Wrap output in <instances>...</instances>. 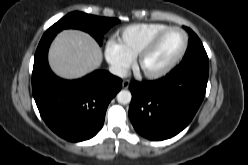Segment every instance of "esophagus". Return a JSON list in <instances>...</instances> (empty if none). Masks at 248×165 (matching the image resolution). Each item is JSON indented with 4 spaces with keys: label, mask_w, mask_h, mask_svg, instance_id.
<instances>
[{
    "label": "esophagus",
    "mask_w": 248,
    "mask_h": 165,
    "mask_svg": "<svg viewBox=\"0 0 248 165\" xmlns=\"http://www.w3.org/2000/svg\"><path fill=\"white\" fill-rule=\"evenodd\" d=\"M129 85H130V80H128V79H125V80H123V82H122V87L123 88H128L129 87Z\"/></svg>",
    "instance_id": "1"
}]
</instances>
